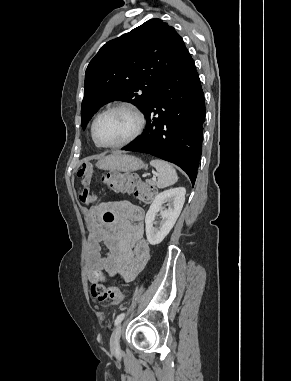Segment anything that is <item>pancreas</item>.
I'll return each mask as SVG.
<instances>
[{
	"label": "pancreas",
	"instance_id": "obj_1",
	"mask_svg": "<svg viewBox=\"0 0 291 381\" xmlns=\"http://www.w3.org/2000/svg\"><path fill=\"white\" fill-rule=\"evenodd\" d=\"M147 183L152 186L153 188H155V181H151V180H147Z\"/></svg>",
	"mask_w": 291,
	"mask_h": 381
}]
</instances>
